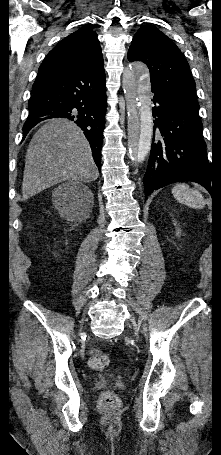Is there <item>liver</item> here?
Instances as JSON below:
<instances>
[{
	"label": "liver",
	"instance_id": "6515ba94",
	"mask_svg": "<svg viewBox=\"0 0 221 455\" xmlns=\"http://www.w3.org/2000/svg\"><path fill=\"white\" fill-rule=\"evenodd\" d=\"M98 176L81 129L67 119H51L35 133L27 149L22 200L63 181L88 182Z\"/></svg>",
	"mask_w": 221,
	"mask_h": 455
}]
</instances>
